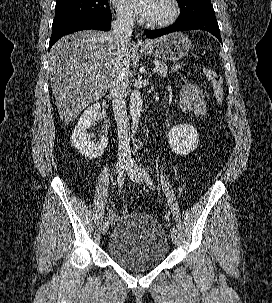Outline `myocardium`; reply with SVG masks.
Listing matches in <instances>:
<instances>
[{
    "label": "myocardium",
    "instance_id": "1",
    "mask_svg": "<svg viewBox=\"0 0 272 303\" xmlns=\"http://www.w3.org/2000/svg\"><path fill=\"white\" fill-rule=\"evenodd\" d=\"M168 3L170 5L169 15L166 18L159 21H154V22L148 21L147 22L148 27L163 28L173 24L177 20L180 14V6L178 0H168Z\"/></svg>",
    "mask_w": 272,
    "mask_h": 303
}]
</instances>
